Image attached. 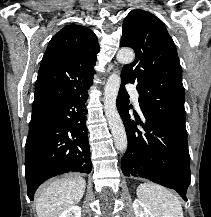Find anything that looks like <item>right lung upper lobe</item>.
Here are the masks:
<instances>
[{"mask_svg":"<svg viewBox=\"0 0 211 217\" xmlns=\"http://www.w3.org/2000/svg\"><path fill=\"white\" fill-rule=\"evenodd\" d=\"M98 52L97 37L85 26L72 24L56 33L41 61L32 113L89 88Z\"/></svg>","mask_w":211,"mask_h":217,"instance_id":"right-lung-upper-lobe-1","label":"right lung upper lobe"}]
</instances>
